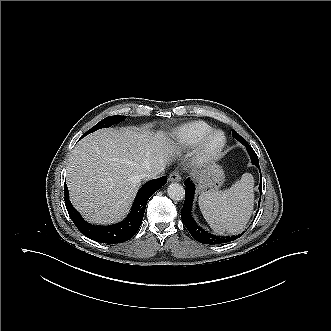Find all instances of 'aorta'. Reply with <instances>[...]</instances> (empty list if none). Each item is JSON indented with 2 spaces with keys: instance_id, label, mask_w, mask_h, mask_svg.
<instances>
[{
  "instance_id": "762f6f07",
  "label": "aorta",
  "mask_w": 331,
  "mask_h": 331,
  "mask_svg": "<svg viewBox=\"0 0 331 331\" xmlns=\"http://www.w3.org/2000/svg\"><path fill=\"white\" fill-rule=\"evenodd\" d=\"M168 196L174 201H180L185 198V189L179 183H171L167 189Z\"/></svg>"
}]
</instances>
